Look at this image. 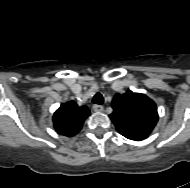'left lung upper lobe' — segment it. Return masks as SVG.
Wrapping results in <instances>:
<instances>
[{
    "instance_id": "left-lung-upper-lobe-1",
    "label": "left lung upper lobe",
    "mask_w": 190,
    "mask_h": 188,
    "mask_svg": "<svg viewBox=\"0 0 190 188\" xmlns=\"http://www.w3.org/2000/svg\"><path fill=\"white\" fill-rule=\"evenodd\" d=\"M114 111L109 115L118 132H132L148 136L158 121L153 100L141 93L127 91L116 94L112 101Z\"/></svg>"
}]
</instances>
